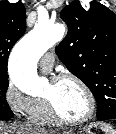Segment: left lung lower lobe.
I'll use <instances>...</instances> for the list:
<instances>
[{
  "label": "left lung lower lobe",
  "instance_id": "1",
  "mask_svg": "<svg viewBox=\"0 0 116 134\" xmlns=\"http://www.w3.org/2000/svg\"><path fill=\"white\" fill-rule=\"evenodd\" d=\"M98 120H109V119H116V114H112L106 118L97 117Z\"/></svg>",
  "mask_w": 116,
  "mask_h": 134
}]
</instances>
